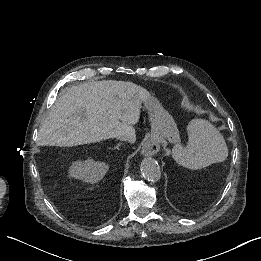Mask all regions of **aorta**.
Returning a JSON list of instances; mask_svg holds the SVG:
<instances>
[{
  "label": "aorta",
  "instance_id": "aorta-1",
  "mask_svg": "<svg viewBox=\"0 0 261 261\" xmlns=\"http://www.w3.org/2000/svg\"><path fill=\"white\" fill-rule=\"evenodd\" d=\"M141 174L150 182H157L161 178V169L153 158H144L140 165Z\"/></svg>",
  "mask_w": 261,
  "mask_h": 261
}]
</instances>
